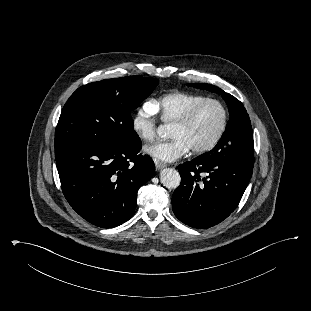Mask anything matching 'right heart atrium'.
<instances>
[{
	"mask_svg": "<svg viewBox=\"0 0 311 311\" xmlns=\"http://www.w3.org/2000/svg\"><path fill=\"white\" fill-rule=\"evenodd\" d=\"M155 112L153 101H148L132 117V130L142 141L150 142L156 136L157 120Z\"/></svg>",
	"mask_w": 311,
	"mask_h": 311,
	"instance_id": "1",
	"label": "right heart atrium"
}]
</instances>
